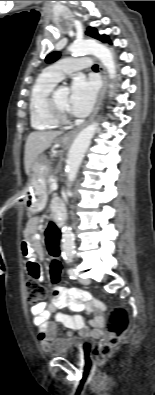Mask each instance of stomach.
Returning a JSON list of instances; mask_svg holds the SVG:
<instances>
[{
    "label": "stomach",
    "instance_id": "obj_1",
    "mask_svg": "<svg viewBox=\"0 0 155 395\" xmlns=\"http://www.w3.org/2000/svg\"><path fill=\"white\" fill-rule=\"evenodd\" d=\"M60 142L63 145L67 144V140L64 138ZM49 171V166L41 160H36L32 166L29 182L24 190L26 207L32 213L41 211L46 205V177Z\"/></svg>",
    "mask_w": 155,
    "mask_h": 395
}]
</instances>
